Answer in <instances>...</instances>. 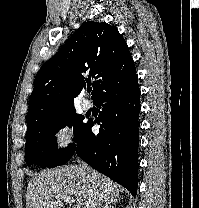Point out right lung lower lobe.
I'll use <instances>...</instances> for the list:
<instances>
[{"label": "right lung lower lobe", "mask_w": 199, "mask_h": 208, "mask_svg": "<svg viewBox=\"0 0 199 208\" xmlns=\"http://www.w3.org/2000/svg\"><path fill=\"white\" fill-rule=\"evenodd\" d=\"M93 102L102 106L99 119L87 123L75 153L135 196L141 110L137 74L106 90ZM99 122L102 123L99 133L94 134L91 127Z\"/></svg>", "instance_id": "right-lung-lower-lobe-1"}]
</instances>
